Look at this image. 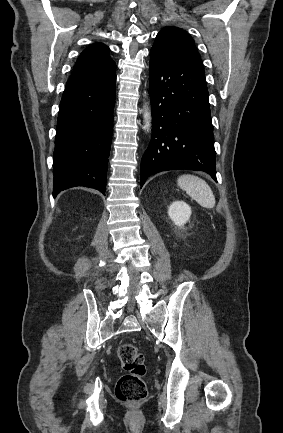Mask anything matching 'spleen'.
<instances>
[{
    "mask_svg": "<svg viewBox=\"0 0 283 433\" xmlns=\"http://www.w3.org/2000/svg\"><path fill=\"white\" fill-rule=\"evenodd\" d=\"M177 184L182 190H186L189 196L197 200L201 206H205V208L215 206V196L203 178L193 176V174H182L177 178Z\"/></svg>",
    "mask_w": 283,
    "mask_h": 433,
    "instance_id": "spleen-1",
    "label": "spleen"
}]
</instances>
